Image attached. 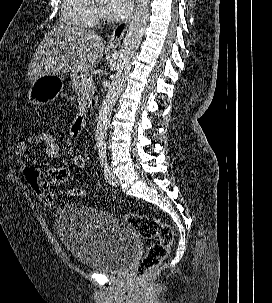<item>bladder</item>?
Returning a JSON list of instances; mask_svg holds the SVG:
<instances>
[{
  "mask_svg": "<svg viewBox=\"0 0 272 303\" xmlns=\"http://www.w3.org/2000/svg\"><path fill=\"white\" fill-rule=\"evenodd\" d=\"M55 227L65 247L83 266L123 271L137 253L136 232L116 216L87 205L66 203L55 214Z\"/></svg>",
  "mask_w": 272,
  "mask_h": 303,
  "instance_id": "bladder-1",
  "label": "bladder"
}]
</instances>
